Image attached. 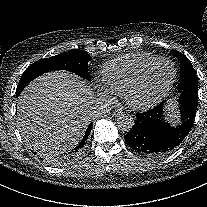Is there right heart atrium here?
<instances>
[{"label": "right heart atrium", "instance_id": "d8ad5b80", "mask_svg": "<svg viewBox=\"0 0 207 207\" xmlns=\"http://www.w3.org/2000/svg\"><path fill=\"white\" fill-rule=\"evenodd\" d=\"M97 93L103 97V98H109L110 95L108 94V92L106 91L105 88L97 86Z\"/></svg>", "mask_w": 207, "mask_h": 207}]
</instances>
